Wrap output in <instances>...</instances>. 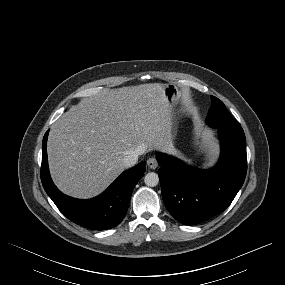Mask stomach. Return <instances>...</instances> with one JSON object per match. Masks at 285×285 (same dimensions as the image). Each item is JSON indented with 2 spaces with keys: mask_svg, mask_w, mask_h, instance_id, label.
I'll list each match as a JSON object with an SVG mask.
<instances>
[{
  "mask_svg": "<svg viewBox=\"0 0 285 285\" xmlns=\"http://www.w3.org/2000/svg\"><path fill=\"white\" fill-rule=\"evenodd\" d=\"M163 94L167 98L171 106H175L179 99V90L173 84H166L163 89Z\"/></svg>",
  "mask_w": 285,
  "mask_h": 285,
  "instance_id": "0dacf381",
  "label": "stomach"
}]
</instances>
